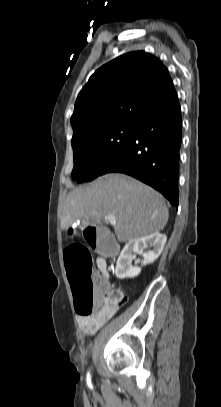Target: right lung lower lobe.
<instances>
[{"label":"right lung lower lobe","instance_id":"obj_1","mask_svg":"<svg viewBox=\"0 0 221 407\" xmlns=\"http://www.w3.org/2000/svg\"><path fill=\"white\" fill-rule=\"evenodd\" d=\"M181 141V108L175 91L164 104L135 124L130 141L102 174L131 175L161 192L178 207Z\"/></svg>","mask_w":221,"mask_h":407}]
</instances>
